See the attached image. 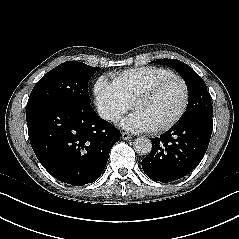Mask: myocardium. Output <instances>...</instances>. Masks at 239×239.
Here are the masks:
<instances>
[{"instance_id": "myocardium-1", "label": "myocardium", "mask_w": 239, "mask_h": 239, "mask_svg": "<svg viewBox=\"0 0 239 239\" xmlns=\"http://www.w3.org/2000/svg\"><path fill=\"white\" fill-rule=\"evenodd\" d=\"M172 78L179 80L183 86L184 92H183L182 105L180 107V110L178 111V113L172 120H170L168 123H166L164 125L152 128L151 131L154 133H164V132L169 131L174 126H176L181 121V119L184 117V115L187 111V108L189 105V99H190L189 86H188L186 80L181 75L174 73V72H169L167 74H164V75L158 77L157 79H155L152 83L148 84L146 87L140 89L134 95V97L132 98L131 103H130L131 109L134 110L135 106L139 102L150 98L156 92V90L159 88V86L162 83H164L168 79H172Z\"/></svg>"}]
</instances>
